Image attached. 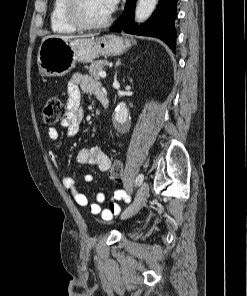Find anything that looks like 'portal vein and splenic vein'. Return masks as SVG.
Masks as SVG:
<instances>
[{
	"mask_svg": "<svg viewBox=\"0 0 247 296\" xmlns=\"http://www.w3.org/2000/svg\"><path fill=\"white\" fill-rule=\"evenodd\" d=\"M99 76H100L101 78H105V77H106V72H105V71H100V72H99Z\"/></svg>",
	"mask_w": 247,
	"mask_h": 296,
	"instance_id": "18ae733b",
	"label": "portal vein and splenic vein"
}]
</instances>
